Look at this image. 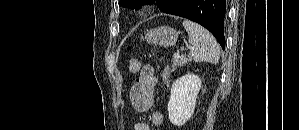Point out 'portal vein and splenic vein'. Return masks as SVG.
I'll use <instances>...</instances> for the list:
<instances>
[{"instance_id": "obj_1", "label": "portal vein and splenic vein", "mask_w": 299, "mask_h": 130, "mask_svg": "<svg viewBox=\"0 0 299 130\" xmlns=\"http://www.w3.org/2000/svg\"><path fill=\"white\" fill-rule=\"evenodd\" d=\"M174 56H175V57H179L180 54L177 52V53L174 54Z\"/></svg>"}]
</instances>
